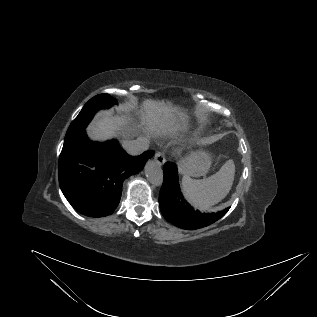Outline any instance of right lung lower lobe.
I'll return each instance as SVG.
<instances>
[{"mask_svg":"<svg viewBox=\"0 0 317 317\" xmlns=\"http://www.w3.org/2000/svg\"><path fill=\"white\" fill-rule=\"evenodd\" d=\"M153 154L129 156L117 141L92 142L82 129L63 145L58 163L60 188L78 212L107 216L118 206L123 181L138 173Z\"/></svg>","mask_w":317,"mask_h":317,"instance_id":"98d812e1","label":"right lung lower lobe"}]
</instances>
